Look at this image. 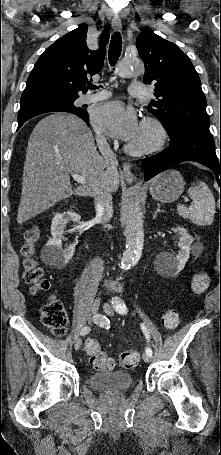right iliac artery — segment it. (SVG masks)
Instances as JSON below:
<instances>
[{
    "label": "right iliac artery",
    "mask_w": 221,
    "mask_h": 455,
    "mask_svg": "<svg viewBox=\"0 0 221 455\" xmlns=\"http://www.w3.org/2000/svg\"><path fill=\"white\" fill-rule=\"evenodd\" d=\"M93 321L96 324L100 325L103 329H106L107 331L110 329L109 328V324H108L109 323L108 319L105 318L104 316H102L101 314L94 315L93 316ZM89 332H90V327L89 326H85V327L82 328L80 334L81 335H86Z\"/></svg>",
    "instance_id": "right-iliac-artery-1"
}]
</instances>
